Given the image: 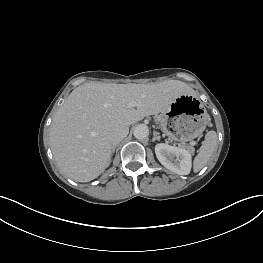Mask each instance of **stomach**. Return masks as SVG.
Wrapping results in <instances>:
<instances>
[{"label": "stomach", "instance_id": "stomach-1", "mask_svg": "<svg viewBox=\"0 0 263 263\" xmlns=\"http://www.w3.org/2000/svg\"><path fill=\"white\" fill-rule=\"evenodd\" d=\"M161 130L181 141L198 137L209 122V115L192 95L179 96L158 118Z\"/></svg>", "mask_w": 263, "mask_h": 263}]
</instances>
